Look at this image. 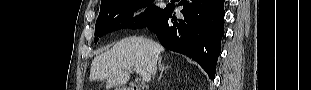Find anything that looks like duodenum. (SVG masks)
Masks as SVG:
<instances>
[{
	"label": "duodenum",
	"instance_id": "obj_1",
	"mask_svg": "<svg viewBox=\"0 0 311 90\" xmlns=\"http://www.w3.org/2000/svg\"><path fill=\"white\" fill-rule=\"evenodd\" d=\"M128 90H146L145 87H139V86H132L129 87Z\"/></svg>",
	"mask_w": 311,
	"mask_h": 90
}]
</instances>
